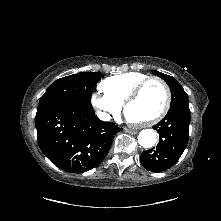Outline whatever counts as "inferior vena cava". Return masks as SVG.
<instances>
[{
    "instance_id": "inferior-vena-cava-1",
    "label": "inferior vena cava",
    "mask_w": 221,
    "mask_h": 221,
    "mask_svg": "<svg viewBox=\"0 0 221 221\" xmlns=\"http://www.w3.org/2000/svg\"><path fill=\"white\" fill-rule=\"evenodd\" d=\"M98 116L103 121H109L111 119V116L105 112H98Z\"/></svg>"
}]
</instances>
